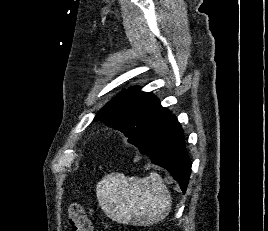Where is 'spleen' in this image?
<instances>
[{"mask_svg": "<svg viewBox=\"0 0 268 231\" xmlns=\"http://www.w3.org/2000/svg\"><path fill=\"white\" fill-rule=\"evenodd\" d=\"M96 195L109 218L138 226L163 220L172 205L171 195L157 172L145 178L110 173L97 183Z\"/></svg>", "mask_w": 268, "mask_h": 231, "instance_id": "spleen-1", "label": "spleen"}]
</instances>
